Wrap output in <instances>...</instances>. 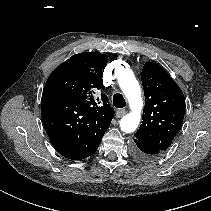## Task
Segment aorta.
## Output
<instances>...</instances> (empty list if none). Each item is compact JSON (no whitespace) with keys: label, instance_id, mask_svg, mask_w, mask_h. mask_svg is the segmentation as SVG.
<instances>
[{"label":"aorta","instance_id":"obj_1","mask_svg":"<svg viewBox=\"0 0 211 211\" xmlns=\"http://www.w3.org/2000/svg\"><path fill=\"white\" fill-rule=\"evenodd\" d=\"M118 83L131 108V112L120 120V128L124 133H131L137 129L141 120V110L143 107L141 89L130 70H119Z\"/></svg>","mask_w":211,"mask_h":211}]
</instances>
